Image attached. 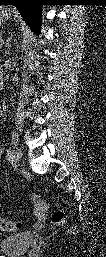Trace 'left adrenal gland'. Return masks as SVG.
<instances>
[{"instance_id":"1","label":"left adrenal gland","mask_w":106,"mask_h":257,"mask_svg":"<svg viewBox=\"0 0 106 257\" xmlns=\"http://www.w3.org/2000/svg\"><path fill=\"white\" fill-rule=\"evenodd\" d=\"M12 37H8V39L6 40V43H5V46H6V49H5V54H8L9 53V50L11 48V41Z\"/></svg>"}]
</instances>
